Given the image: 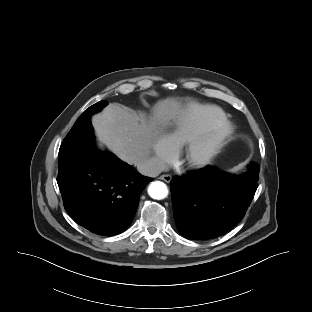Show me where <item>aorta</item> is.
<instances>
[{"instance_id": "762f6f07", "label": "aorta", "mask_w": 312, "mask_h": 312, "mask_svg": "<svg viewBox=\"0 0 312 312\" xmlns=\"http://www.w3.org/2000/svg\"><path fill=\"white\" fill-rule=\"evenodd\" d=\"M148 194L151 198L161 200L167 197L168 188L165 183L161 181L152 182L148 188Z\"/></svg>"}]
</instances>
